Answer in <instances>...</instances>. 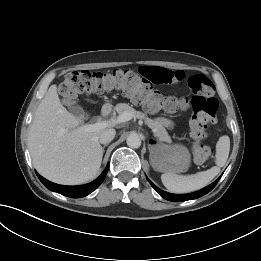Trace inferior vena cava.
Wrapping results in <instances>:
<instances>
[{"label": "inferior vena cava", "instance_id": "obj_1", "mask_svg": "<svg viewBox=\"0 0 261 261\" xmlns=\"http://www.w3.org/2000/svg\"><path fill=\"white\" fill-rule=\"evenodd\" d=\"M115 135H116L115 129L113 128L104 129L99 136V142L104 145L108 144L114 139Z\"/></svg>", "mask_w": 261, "mask_h": 261}]
</instances>
